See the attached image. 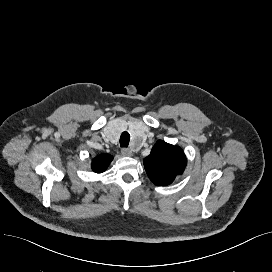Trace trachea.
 Listing matches in <instances>:
<instances>
[{
  "label": "trachea",
  "mask_w": 272,
  "mask_h": 272,
  "mask_svg": "<svg viewBox=\"0 0 272 272\" xmlns=\"http://www.w3.org/2000/svg\"><path fill=\"white\" fill-rule=\"evenodd\" d=\"M130 141V134L127 131H124L120 136V146L121 147H128Z\"/></svg>",
  "instance_id": "obj_1"
}]
</instances>
